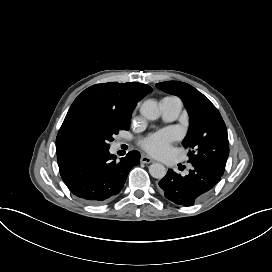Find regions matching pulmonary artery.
Wrapping results in <instances>:
<instances>
[{"label":"pulmonary artery","instance_id":"1","mask_svg":"<svg viewBox=\"0 0 272 272\" xmlns=\"http://www.w3.org/2000/svg\"><path fill=\"white\" fill-rule=\"evenodd\" d=\"M160 108L162 110V118L166 122H173L175 121L178 116L181 113L182 110V102L178 97L170 96V97H165L160 101ZM120 142H115L112 145V152H115L119 146ZM184 171L185 172H190L191 171V166L190 165H185L184 166Z\"/></svg>","mask_w":272,"mask_h":272}]
</instances>
